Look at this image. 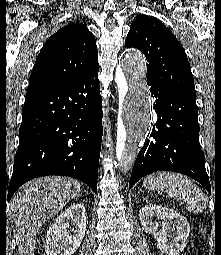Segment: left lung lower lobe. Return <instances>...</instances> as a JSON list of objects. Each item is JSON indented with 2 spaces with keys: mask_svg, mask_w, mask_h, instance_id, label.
Returning a JSON list of instances; mask_svg holds the SVG:
<instances>
[{
  "mask_svg": "<svg viewBox=\"0 0 221 255\" xmlns=\"http://www.w3.org/2000/svg\"><path fill=\"white\" fill-rule=\"evenodd\" d=\"M158 119L150 138L135 161L129 188L139 179L156 171H174L200 182L211 193L199 146L198 108L196 100L148 83Z\"/></svg>",
  "mask_w": 221,
  "mask_h": 255,
  "instance_id": "left-lung-lower-lobe-1",
  "label": "left lung lower lobe"
}]
</instances>
